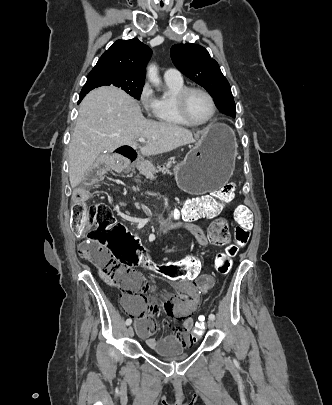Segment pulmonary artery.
Here are the masks:
<instances>
[{"label": "pulmonary artery", "instance_id": "pulmonary-artery-1", "mask_svg": "<svg viewBox=\"0 0 332 405\" xmlns=\"http://www.w3.org/2000/svg\"><path fill=\"white\" fill-rule=\"evenodd\" d=\"M164 79L173 80V81H181L182 75L177 69L170 68L164 72Z\"/></svg>", "mask_w": 332, "mask_h": 405}]
</instances>
